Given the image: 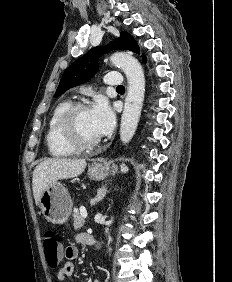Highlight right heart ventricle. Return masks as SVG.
<instances>
[{
  "label": "right heart ventricle",
  "instance_id": "1",
  "mask_svg": "<svg viewBox=\"0 0 232 282\" xmlns=\"http://www.w3.org/2000/svg\"><path fill=\"white\" fill-rule=\"evenodd\" d=\"M71 104L72 102L70 100L59 102L49 118L45 140L48 152L53 157H67L75 154L77 151L64 141L60 133L61 117Z\"/></svg>",
  "mask_w": 232,
  "mask_h": 282
}]
</instances>
